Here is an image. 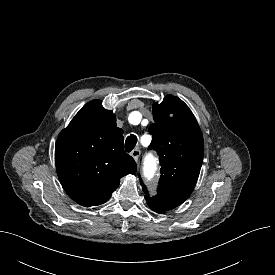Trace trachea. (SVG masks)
I'll use <instances>...</instances> for the list:
<instances>
[{"label": "trachea", "instance_id": "trachea-1", "mask_svg": "<svg viewBox=\"0 0 275 275\" xmlns=\"http://www.w3.org/2000/svg\"><path fill=\"white\" fill-rule=\"evenodd\" d=\"M137 144V137L133 134L128 136L125 141V150L130 152Z\"/></svg>", "mask_w": 275, "mask_h": 275}]
</instances>
